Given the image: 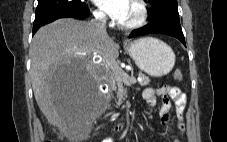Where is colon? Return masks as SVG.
<instances>
[{
    "label": "colon",
    "mask_w": 227,
    "mask_h": 142,
    "mask_svg": "<svg viewBox=\"0 0 227 142\" xmlns=\"http://www.w3.org/2000/svg\"><path fill=\"white\" fill-rule=\"evenodd\" d=\"M174 77H175L176 80H181V79H182V74H181V72H180V71L175 72Z\"/></svg>",
    "instance_id": "5ec220e1"
}]
</instances>
